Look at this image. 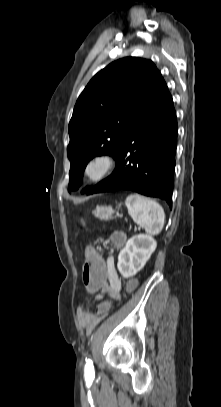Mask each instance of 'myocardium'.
<instances>
[{"mask_svg":"<svg viewBox=\"0 0 221 407\" xmlns=\"http://www.w3.org/2000/svg\"><path fill=\"white\" fill-rule=\"evenodd\" d=\"M118 159L110 152H101L91 156L84 164L83 176L91 183H98L109 177L117 168ZM93 169H96L93 172Z\"/></svg>","mask_w":221,"mask_h":407,"instance_id":"1","label":"myocardium"}]
</instances>
